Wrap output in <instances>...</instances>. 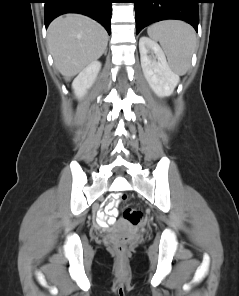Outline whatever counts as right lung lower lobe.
<instances>
[{
    "mask_svg": "<svg viewBox=\"0 0 239 296\" xmlns=\"http://www.w3.org/2000/svg\"><path fill=\"white\" fill-rule=\"evenodd\" d=\"M113 0H44L45 26L64 13H80L101 23L107 32L111 30V3Z\"/></svg>",
    "mask_w": 239,
    "mask_h": 296,
    "instance_id": "right-lung-lower-lobe-1",
    "label": "right lung lower lobe"
}]
</instances>
